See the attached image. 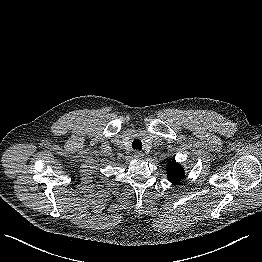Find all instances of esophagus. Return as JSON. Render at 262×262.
I'll list each match as a JSON object with an SVG mask.
<instances>
[{
    "label": "esophagus",
    "mask_w": 262,
    "mask_h": 262,
    "mask_svg": "<svg viewBox=\"0 0 262 262\" xmlns=\"http://www.w3.org/2000/svg\"><path fill=\"white\" fill-rule=\"evenodd\" d=\"M134 156L135 158L141 159L144 156V154L141 151H135Z\"/></svg>",
    "instance_id": "obj_1"
}]
</instances>
